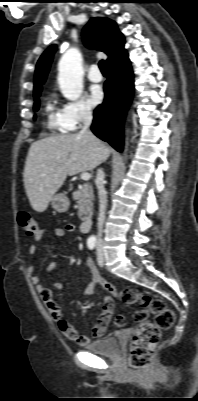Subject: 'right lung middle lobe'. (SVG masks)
<instances>
[{
  "mask_svg": "<svg viewBox=\"0 0 198 401\" xmlns=\"http://www.w3.org/2000/svg\"><path fill=\"white\" fill-rule=\"evenodd\" d=\"M39 96H40V93L34 95V99H35L34 111H37L39 109Z\"/></svg>",
  "mask_w": 198,
  "mask_h": 401,
  "instance_id": "1",
  "label": "right lung middle lobe"
}]
</instances>
